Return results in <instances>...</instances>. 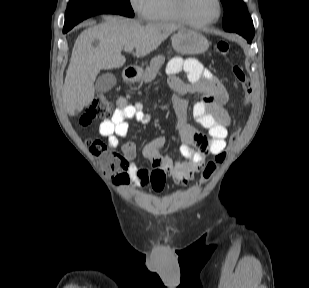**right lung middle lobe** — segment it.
Masks as SVG:
<instances>
[{
  "instance_id": "1",
  "label": "right lung middle lobe",
  "mask_w": 309,
  "mask_h": 288,
  "mask_svg": "<svg viewBox=\"0 0 309 288\" xmlns=\"http://www.w3.org/2000/svg\"><path fill=\"white\" fill-rule=\"evenodd\" d=\"M101 13L134 16L130 0H70L63 29L70 30L80 21Z\"/></svg>"
}]
</instances>
